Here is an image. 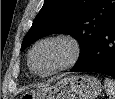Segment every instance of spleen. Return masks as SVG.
<instances>
[{
    "label": "spleen",
    "mask_w": 115,
    "mask_h": 99,
    "mask_svg": "<svg viewBox=\"0 0 115 99\" xmlns=\"http://www.w3.org/2000/svg\"><path fill=\"white\" fill-rule=\"evenodd\" d=\"M104 84L109 99H115V80L106 78Z\"/></svg>",
    "instance_id": "obj_1"
}]
</instances>
